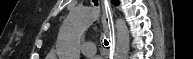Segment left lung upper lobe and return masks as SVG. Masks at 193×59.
<instances>
[{
    "instance_id": "1",
    "label": "left lung upper lobe",
    "mask_w": 193,
    "mask_h": 59,
    "mask_svg": "<svg viewBox=\"0 0 193 59\" xmlns=\"http://www.w3.org/2000/svg\"><path fill=\"white\" fill-rule=\"evenodd\" d=\"M113 4L117 5L118 4V0H112Z\"/></svg>"
}]
</instances>
